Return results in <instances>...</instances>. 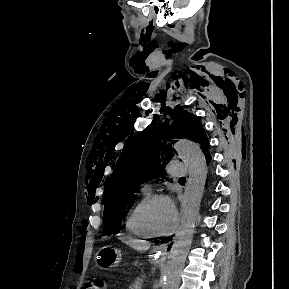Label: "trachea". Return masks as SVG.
<instances>
[{
	"label": "trachea",
	"mask_w": 289,
	"mask_h": 289,
	"mask_svg": "<svg viewBox=\"0 0 289 289\" xmlns=\"http://www.w3.org/2000/svg\"><path fill=\"white\" fill-rule=\"evenodd\" d=\"M180 180H185V178H184V177H182V178H180Z\"/></svg>",
	"instance_id": "trachea-1"
}]
</instances>
